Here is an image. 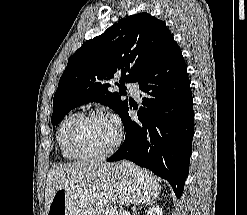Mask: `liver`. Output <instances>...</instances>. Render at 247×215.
<instances>
[{
    "mask_svg": "<svg viewBox=\"0 0 247 215\" xmlns=\"http://www.w3.org/2000/svg\"><path fill=\"white\" fill-rule=\"evenodd\" d=\"M113 166L106 162L74 163L53 165L47 174L45 189V211H48L56 191L68 187L72 190L86 188Z\"/></svg>",
    "mask_w": 247,
    "mask_h": 215,
    "instance_id": "1",
    "label": "liver"
}]
</instances>
